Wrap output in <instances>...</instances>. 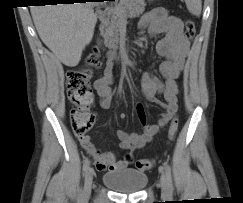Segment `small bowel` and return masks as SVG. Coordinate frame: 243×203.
I'll list each match as a JSON object with an SVG mask.
<instances>
[{
	"label": "small bowel",
	"instance_id": "small-bowel-1",
	"mask_svg": "<svg viewBox=\"0 0 243 203\" xmlns=\"http://www.w3.org/2000/svg\"><path fill=\"white\" fill-rule=\"evenodd\" d=\"M138 28L139 30H147L151 35H163L156 43V52L164 58L160 65V72L164 81L145 72L141 78V85L146 99L158 104L164 111L156 124H150L143 105L141 103L136 104V114L142 131L140 133H129L125 130H118L117 132L120 148L130 152L140 149L150 142L160 128L165 126L176 114L178 109L177 94L179 92L177 80L190 51L189 42L183 35L181 20L169 15L163 8H154L146 12L139 20ZM113 68V59H109L102 74L94 83L95 90L100 97V106L104 109H108L111 105L112 91L110 85L113 81ZM157 94H162L164 101L157 99ZM125 118L124 113L120 114V119L124 120ZM79 142L82 148L94 159L95 166L100 171L124 168L131 161V158L117 160L112 151H100L91 144L87 136L79 138Z\"/></svg>",
	"mask_w": 243,
	"mask_h": 203
}]
</instances>
